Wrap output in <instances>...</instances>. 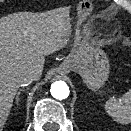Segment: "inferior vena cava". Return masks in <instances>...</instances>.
Returning <instances> with one entry per match:
<instances>
[{
	"label": "inferior vena cava",
	"mask_w": 131,
	"mask_h": 131,
	"mask_svg": "<svg viewBox=\"0 0 131 131\" xmlns=\"http://www.w3.org/2000/svg\"><path fill=\"white\" fill-rule=\"evenodd\" d=\"M33 80H37V76L33 73L26 74L25 76L21 77L19 83L20 86H27L29 85Z\"/></svg>",
	"instance_id": "602c4592"
}]
</instances>
